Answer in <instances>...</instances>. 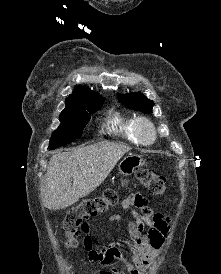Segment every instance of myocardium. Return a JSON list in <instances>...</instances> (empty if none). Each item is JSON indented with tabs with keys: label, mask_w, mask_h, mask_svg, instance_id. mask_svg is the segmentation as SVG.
I'll list each match as a JSON object with an SVG mask.
<instances>
[{
	"label": "myocardium",
	"mask_w": 221,
	"mask_h": 274,
	"mask_svg": "<svg viewBox=\"0 0 221 274\" xmlns=\"http://www.w3.org/2000/svg\"><path fill=\"white\" fill-rule=\"evenodd\" d=\"M136 134L142 144H152L156 139V128L154 123L145 117H139L136 121Z\"/></svg>",
	"instance_id": "obj_1"
}]
</instances>
